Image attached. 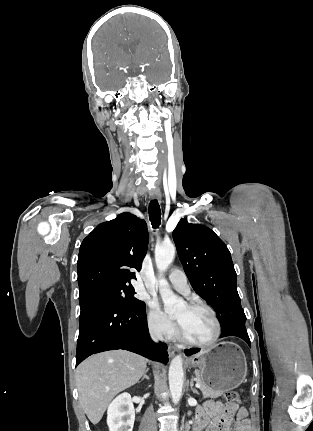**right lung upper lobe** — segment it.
<instances>
[{
  "instance_id": "cb5924a9",
  "label": "right lung upper lobe",
  "mask_w": 313,
  "mask_h": 431,
  "mask_svg": "<svg viewBox=\"0 0 313 431\" xmlns=\"http://www.w3.org/2000/svg\"><path fill=\"white\" fill-rule=\"evenodd\" d=\"M148 246L144 220L125 212L99 224L82 242L77 273L80 298L102 288L130 284L141 269Z\"/></svg>"
}]
</instances>
